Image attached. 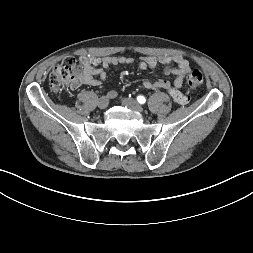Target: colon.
<instances>
[{
    "label": "colon",
    "instance_id": "obj_1",
    "mask_svg": "<svg viewBox=\"0 0 253 253\" xmlns=\"http://www.w3.org/2000/svg\"><path fill=\"white\" fill-rule=\"evenodd\" d=\"M84 70L83 65L74 57L64 58L51 72L49 86L52 91L60 92L72 86ZM204 82L201 71L193 70L186 77V84L190 88H197Z\"/></svg>",
    "mask_w": 253,
    "mask_h": 253
}]
</instances>
